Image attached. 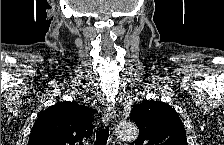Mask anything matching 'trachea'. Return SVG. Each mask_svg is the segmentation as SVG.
<instances>
[{"label": "trachea", "instance_id": "obj_1", "mask_svg": "<svg viewBox=\"0 0 224 145\" xmlns=\"http://www.w3.org/2000/svg\"><path fill=\"white\" fill-rule=\"evenodd\" d=\"M109 137V130L101 126L96 133L95 145H106Z\"/></svg>", "mask_w": 224, "mask_h": 145}]
</instances>
